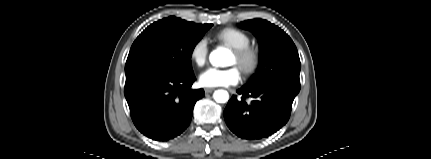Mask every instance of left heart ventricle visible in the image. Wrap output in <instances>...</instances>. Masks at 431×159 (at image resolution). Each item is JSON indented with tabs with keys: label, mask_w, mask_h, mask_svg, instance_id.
I'll return each instance as SVG.
<instances>
[{
	"label": "left heart ventricle",
	"mask_w": 431,
	"mask_h": 159,
	"mask_svg": "<svg viewBox=\"0 0 431 159\" xmlns=\"http://www.w3.org/2000/svg\"><path fill=\"white\" fill-rule=\"evenodd\" d=\"M235 64H237L236 57L234 56V54H232L230 57L229 65H235Z\"/></svg>",
	"instance_id": "obj_1"
}]
</instances>
